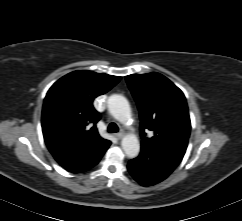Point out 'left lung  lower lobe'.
Listing matches in <instances>:
<instances>
[{
	"label": "left lung lower lobe",
	"instance_id": "1",
	"mask_svg": "<svg viewBox=\"0 0 242 221\" xmlns=\"http://www.w3.org/2000/svg\"><path fill=\"white\" fill-rule=\"evenodd\" d=\"M178 163L170 158L141 148L138 157L128 163V171L142 186H152L166 179Z\"/></svg>",
	"mask_w": 242,
	"mask_h": 221
}]
</instances>
